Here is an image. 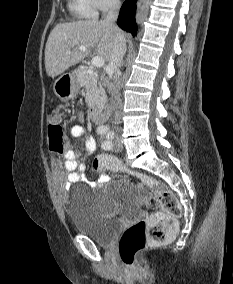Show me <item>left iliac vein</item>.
<instances>
[{
	"label": "left iliac vein",
	"mask_w": 233,
	"mask_h": 284,
	"mask_svg": "<svg viewBox=\"0 0 233 284\" xmlns=\"http://www.w3.org/2000/svg\"><path fill=\"white\" fill-rule=\"evenodd\" d=\"M112 147H113V150L116 152H119L123 149V145H122L120 137H116L114 139Z\"/></svg>",
	"instance_id": "1"
}]
</instances>
